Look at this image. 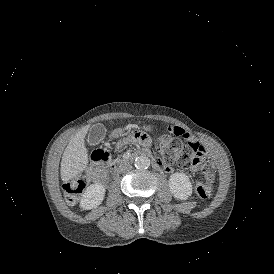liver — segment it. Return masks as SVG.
<instances>
[{
  "label": "liver",
  "instance_id": "liver-1",
  "mask_svg": "<svg viewBox=\"0 0 274 274\" xmlns=\"http://www.w3.org/2000/svg\"><path fill=\"white\" fill-rule=\"evenodd\" d=\"M88 126L80 129L68 143L61 161V177L64 182L75 178L87 163L86 149L84 147V135Z\"/></svg>",
  "mask_w": 274,
  "mask_h": 274
}]
</instances>
